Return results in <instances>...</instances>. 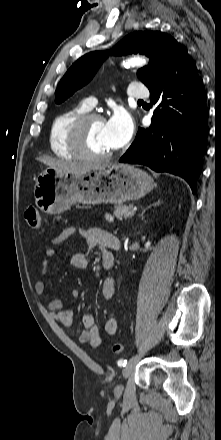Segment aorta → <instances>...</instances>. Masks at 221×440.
I'll return each mask as SVG.
<instances>
[{"label":"aorta","instance_id":"1","mask_svg":"<svg viewBox=\"0 0 221 440\" xmlns=\"http://www.w3.org/2000/svg\"><path fill=\"white\" fill-rule=\"evenodd\" d=\"M147 63V60L144 57L136 56L128 59L126 62H123L125 67H140Z\"/></svg>","mask_w":221,"mask_h":440}]
</instances>
